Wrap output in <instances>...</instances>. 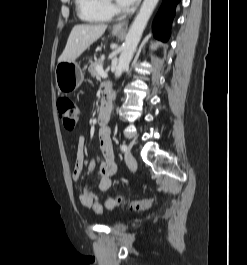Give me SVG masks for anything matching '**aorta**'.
<instances>
[{
  "mask_svg": "<svg viewBox=\"0 0 247 265\" xmlns=\"http://www.w3.org/2000/svg\"><path fill=\"white\" fill-rule=\"evenodd\" d=\"M159 0H144L139 13L134 19L125 38L123 50L118 59L115 77L119 78L123 71L129 67L134 52L142 37L147 22L152 15Z\"/></svg>",
  "mask_w": 247,
  "mask_h": 265,
  "instance_id": "obj_1",
  "label": "aorta"
}]
</instances>
